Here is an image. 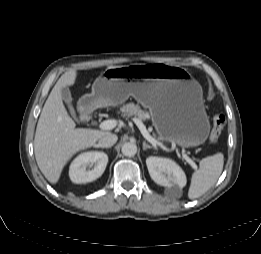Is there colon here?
<instances>
[{
  "label": "colon",
  "mask_w": 261,
  "mask_h": 254,
  "mask_svg": "<svg viewBox=\"0 0 261 254\" xmlns=\"http://www.w3.org/2000/svg\"><path fill=\"white\" fill-rule=\"evenodd\" d=\"M225 123H226V118L223 114H216L213 117V128L210 134V142L212 144H215L218 141L224 129Z\"/></svg>",
  "instance_id": "obj_1"
}]
</instances>
